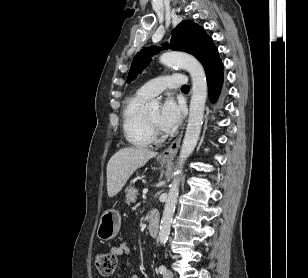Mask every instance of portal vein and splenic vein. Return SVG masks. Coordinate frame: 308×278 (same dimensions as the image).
<instances>
[{
  "label": "portal vein and splenic vein",
  "mask_w": 308,
  "mask_h": 278,
  "mask_svg": "<svg viewBox=\"0 0 308 278\" xmlns=\"http://www.w3.org/2000/svg\"><path fill=\"white\" fill-rule=\"evenodd\" d=\"M147 193H148V189L145 188V189L143 190V196H145Z\"/></svg>",
  "instance_id": "1"
}]
</instances>
